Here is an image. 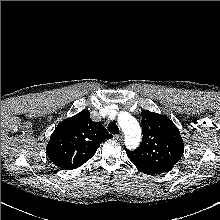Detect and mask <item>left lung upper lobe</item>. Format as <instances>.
Returning <instances> with one entry per match:
<instances>
[{"label": "left lung upper lobe", "mask_w": 220, "mask_h": 220, "mask_svg": "<svg viewBox=\"0 0 220 220\" xmlns=\"http://www.w3.org/2000/svg\"><path fill=\"white\" fill-rule=\"evenodd\" d=\"M141 116L143 139L136 150L125 148L129 159L154 174L170 171L184 152L178 128L164 115L144 110Z\"/></svg>", "instance_id": "1"}]
</instances>
